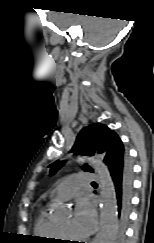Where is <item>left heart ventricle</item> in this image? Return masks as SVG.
<instances>
[{
	"label": "left heart ventricle",
	"instance_id": "obj_1",
	"mask_svg": "<svg viewBox=\"0 0 154 243\" xmlns=\"http://www.w3.org/2000/svg\"><path fill=\"white\" fill-rule=\"evenodd\" d=\"M62 231L68 234L73 238H80L81 236L72 228V219L71 217L66 218L57 225Z\"/></svg>",
	"mask_w": 154,
	"mask_h": 243
}]
</instances>
